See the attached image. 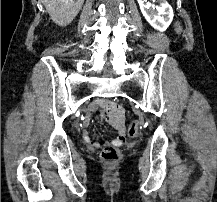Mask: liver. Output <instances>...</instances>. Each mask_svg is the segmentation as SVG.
Masks as SVG:
<instances>
[{"instance_id":"1","label":"liver","mask_w":217,"mask_h":202,"mask_svg":"<svg viewBox=\"0 0 217 202\" xmlns=\"http://www.w3.org/2000/svg\"><path fill=\"white\" fill-rule=\"evenodd\" d=\"M57 26H68L76 18L84 0H41Z\"/></svg>"}]
</instances>
